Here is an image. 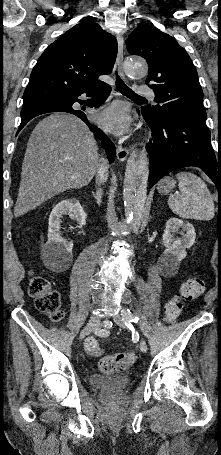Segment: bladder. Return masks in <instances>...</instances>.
Wrapping results in <instances>:
<instances>
[{
  "label": "bladder",
  "instance_id": "31cf9c89",
  "mask_svg": "<svg viewBox=\"0 0 221 455\" xmlns=\"http://www.w3.org/2000/svg\"><path fill=\"white\" fill-rule=\"evenodd\" d=\"M89 381L91 386L97 389L119 390L129 384V377L126 375L93 374Z\"/></svg>",
  "mask_w": 221,
  "mask_h": 455
}]
</instances>
